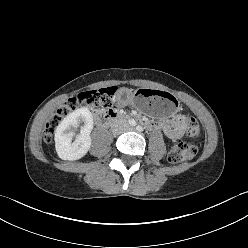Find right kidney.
<instances>
[{
	"label": "right kidney",
	"instance_id": "right-kidney-1",
	"mask_svg": "<svg viewBox=\"0 0 248 248\" xmlns=\"http://www.w3.org/2000/svg\"><path fill=\"white\" fill-rule=\"evenodd\" d=\"M80 122H84L80 134L76 136L74 130ZM93 129L91 112L86 108L74 110L68 114L58 125L55 131V148L58 156L63 160L74 161L84 157L90 149V133Z\"/></svg>",
	"mask_w": 248,
	"mask_h": 248
}]
</instances>
